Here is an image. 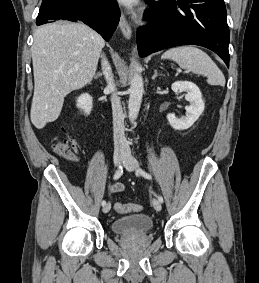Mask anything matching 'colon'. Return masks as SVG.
<instances>
[{"label": "colon", "instance_id": "5ec220e1", "mask_svg": "<svg viewBox=\"0 0 259 283\" xmlns=\"http://www.w3.org/2000/svg\"><path fill=\"white\" fill-rule=\"evenodd\" d=\"M55 150L60 156L66 159H72L74 157L72 146L66 139L58 141L55 145ZM115 210L120 214H127L141 211L142 206L136 203H116Z\"/></svg>", "mask_w": 259, "mask_h": 283}]
</instances>
